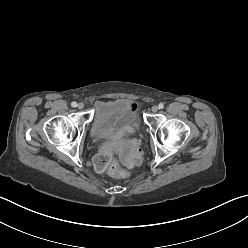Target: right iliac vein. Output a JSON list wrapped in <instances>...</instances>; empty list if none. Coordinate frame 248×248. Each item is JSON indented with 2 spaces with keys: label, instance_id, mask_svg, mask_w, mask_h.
Listing matches in <instances>:
<instances>
[{
  "label": "right iliac vein",
  "instance_id": "right-iliac-vein-1",
  "mask_svg": "<svg viewBox=\"0 0 248 248\" xmlns=\"http://www.w3.org/2000/svg\"><path fill=\"white\" fill-rule=\"evenodd\" d=\"M78 108H79V109H83V108H84V104H83V103H79V104H78Z\"/></svg>",
  "mask_w": 248,
  "mask_h": 248
}]
</instances>
